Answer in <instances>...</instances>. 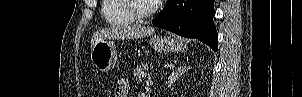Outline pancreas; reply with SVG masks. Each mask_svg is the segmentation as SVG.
I'll return each instance as SVG.
<instances>
[{
    "label": "pancreas",
    "mask_w": 302,
    "mask_h": 97,
    "mask_svg": "<svg viewBox=\"0 0 302 97\" xmlns=\"http://www.w3.org/2000/svg\"><path fill=\"white\" fill-rule=\"evenodd\" d=\"M147 66L146 65H140L136 67L134 70V77L138 80V82H142L144 79L147 78Z\"/></svg>",
    "instance_id": "obj_1"
}]
</instances>
